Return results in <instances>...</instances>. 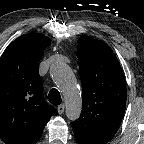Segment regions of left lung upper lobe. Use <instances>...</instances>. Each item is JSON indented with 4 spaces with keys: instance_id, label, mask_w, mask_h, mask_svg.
<instances>
[{
    "instance_id": "left-lung-upper-lobe-1",
    "label": "left lung upper lobe",
    "mask_w": 144,
    "mask_h": 144,
    "mask_svg": "<svg viewBox=\"0 0 144 144\" xmlns=\"http://www.w3.org/2000/svg\"><path fill=\"white\" fill-rule=\"evenodd\" d=\"M83 91L81 116L72 123L75 138L107 144L121 124L126 106V82L120 64L103 41L81 36L77 47Z\"/></svg>"
}]
</instances>
